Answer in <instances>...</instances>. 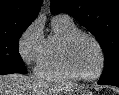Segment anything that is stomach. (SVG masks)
I'll use <instances>...</instances> for the list:
<instances>
[{
	"mask_svg": "<svg viewBox=\"0 0 119 95\" xmlns=\"http://www.w3.org/2000/svg\"><path fill=\"white\" fill-rule=\"evenodd\" d=\"M66 95H93L92 92L83 87H78L70 91Z\"/></svg>",
	"mask_w": 119,
	"mask_h": 95,
	"instance_id": "1",
	"label": "stomach"
}]
</instances>
